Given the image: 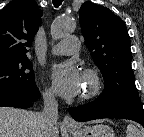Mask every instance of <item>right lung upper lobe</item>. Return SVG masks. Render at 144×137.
<instances>
[{
    "mask_svg": "<svg viewBox=\"0 0 144 137\" xmlns=\"http://www.w3.org/2000/svg\"><path fill=\"white\" fill-rule=\"evenodd\" d=\"M41 15L35 0H13L0 11V64L27 57Z\"/></svg>",
    "mask_w": 144,
    "mask_h": 137,
    "instance_id": "right-lung-upper-lobe-1",
    "label": "right lung upper lobe"
}]
</instances>
